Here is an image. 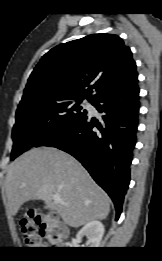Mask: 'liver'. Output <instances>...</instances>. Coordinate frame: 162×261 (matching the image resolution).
<instances>
[{"label": "liver", "mask_w": 162, "mask_h": 261, "mask_svg": "<svg viewBox=\"0 0 162 261\" xmlns=\"http://www.w3.org/2000/svg\"><path fill=\"white\" fill-rule=\"evenodd\" d=\"M59 194L61 201L53 199ZM9 211L16 215L27 201L40 199L70 227L105 219L108 195L69 154L52 147L34 148L17 158L6 175Z\"/></svg>", "instance_id": "6515ba94"}]
</instances>
